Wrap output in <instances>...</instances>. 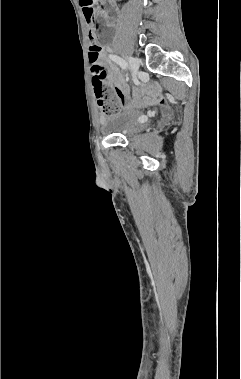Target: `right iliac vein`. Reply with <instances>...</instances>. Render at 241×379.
Here are the masks:
<instances>
[{"instance_id": "right-iliac-vein-1", "label": "right iliac vein", "mask_w": 241, "mask_h": 379, "mask_svg": "<svg viewBox=\"0 0 241 379\" xmlns=\"http://www.w3.org/2000/svg\"><path fill=\"white\" fill-rule=\"evenodd\" d=\"M127 60H128L129 66L132 70L133 76L136 77L138 74V70H139V64H138L137 60L132 58V57H127Z\"/></svg>"}]
</instances>
